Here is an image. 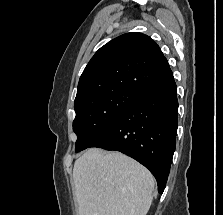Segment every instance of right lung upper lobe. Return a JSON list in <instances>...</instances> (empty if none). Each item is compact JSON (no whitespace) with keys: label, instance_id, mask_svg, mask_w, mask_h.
<instances>
[{"label":"right lung upper lobe","instance_id":"1","mask_svg":"<svg viewBox=\"0 0 223 215\" xmlns=\"http://www.w3.org/2000/svg\"><path fill=\"white\" fill-rule=\"evenodd\" d=\"M172 79L159 46L142 33H126L101 47L89 61L78 83L74 107L115 90L141 95Z\"/></svg>","mask_w":223,"mask_h":215}]
</instances>
